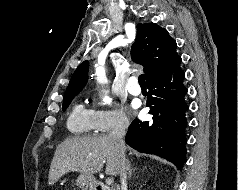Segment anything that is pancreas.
<instances>
[{"instance_id": "1", "label": "pancreas", "mask_w": 238, "mask_h": 190, "mask_svg": "<svg viewBox=\"0 0 238 190\" xmlns=\"http://www.w3.org/2000/svg\"><path fill=\"white\" fill-rule=\"evenodd\" d=\"M104 190H118V189H113V188H111V189H104Z\"/></svg>"}]
</instances>
